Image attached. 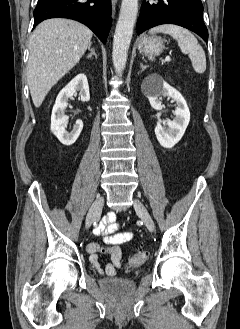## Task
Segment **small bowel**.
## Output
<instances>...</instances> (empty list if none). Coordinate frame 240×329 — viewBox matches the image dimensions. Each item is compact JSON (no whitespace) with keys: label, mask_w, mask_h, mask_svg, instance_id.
<instances>
[{"label":"small bowel","mask_w":240,"mask_h":329,"mask_svg":"<svg viewBox=\"0 0 240 329\" xmlns=\"http://www.w3.org/2000/svg\"><path fill=\"white\" fill-rule=\"evenodd\" d=\"M116 215L108 213L106 218L97 226L95 232L104 237L107 246L98 243H90L87 247L89 261L91 265L101 273L108 276H115L122 266V252L119 248L121 244L132 237L129 231H119V225L115 222ZM107 255L109 262L102 265L100 255Z\"/></svg>","instance_id":"obj_1"}]
</instances>
